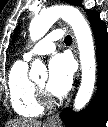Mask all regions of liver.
Segmentation results:
<instances>
[{
	"instance_id": "liver-1",
	"label": "liver",
	"mask_w": 108,
	"mask_h": 127,
	"mask_svg": "<svg viewBox=\"0 0 108 127\" xmlns=\"http://www.w3.org/2000/svg\"><path fill=\"white\" fill-rule=\"evenodd\" d=\"M42 122L35 119L19 118L10 120L5 127H41Z\"/></svg>"
}]
</instances>
